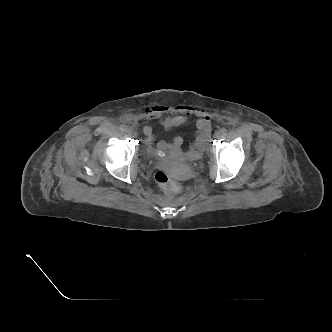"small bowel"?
Wrapping results in <instances>:
<instances>
[{
	"label": "small bowel",
	"instance_id": "c3829d8e",
	"mask_svg": "<svg viewBox=\"0 0 332 332\" xmlns=\"http://www.w3.org/2000/svg\"><path fill=\"white\" fill-rule=\"evenodd\" d=\"M164 114L166 116L162 117ZM146 118L149 119H160V125L169 131L174 127L181 126L189 122L191 118V111L185 105H158L147 110ZM195 126L197 129L195 141L192 144V148L202 151L207 142L210 139L212 132V125L209 118H198L195 121ZM143 133L145 135L144 143L151 147L155 139L154 127L152 125H146L143 128ZM183 143V139L180 136L173 138L171 142L161 140L157 142L156 146L158 150L165 151L168 149H177Z\"/></svg>",
	"mask_w": 332,
	"mask_h": 332
}]
</instances>
